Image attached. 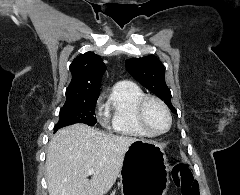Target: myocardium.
Wrapping results in <instances>:
<instances>
[{"instance_id":"1","label":"myocardium","mask_w":240,"mask_h":195,"mask_svg":"<svg viewBox=\"0 0 240 195\" xmlns=\"http://www.w3.org/2000/svg\"><path fill=\"white\" fill-rule=\"evenodd\" d=\"M149 103H155L157 104L164 112L166 118H167V126L164 130L162 131H157L154 128H152L149 123L147 122L146 119V107ZM136 115H137V120L140 124V126L150 135L152 136H160L165 133H167L170 130L171 124H172V117L171 113L166 106V104L159 98L155 96H150V95H144L137 103L136 107Z\"/></svg>"}]
</instances>
